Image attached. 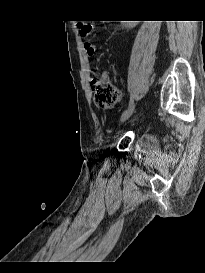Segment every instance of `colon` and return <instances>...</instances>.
<instances>
[{"label": "colon", "instance_id": "obj_1", "mask_svg": "<svg viewBox=\"0 0 205 273\" xmlns=\"http://www.w3.org/2000/svg\"><path fill=\"white\" fill-rule=\"evenodd\" d=\"M77 27L81 35H88L92 29L90 24L84 22H78ZM90 86L95 103L102 108H111L120 99V90L107 75L93 74Z\"/></svg>", "mask_w": 205, "mask_h": 273}]
</instances>
